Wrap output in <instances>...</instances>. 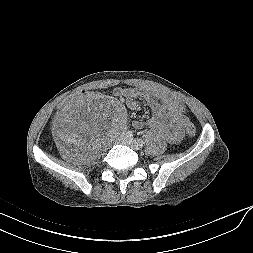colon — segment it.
Here are the masks:
<instances>
[{
	"mask_svg": "<svg viewBox=\"0 0 253 253\" xmlns=\"http://www.w3.org/2000/svg\"><path fill=\"white\" fill-rule=\"evenodd\" d=\"M92 90L91 89H82L75 94H72L67 98L63 103H59L57 108L60 111H66L70 108L77 100L84 98L85 96H91ZM185 132L189 136H194L196 133V128L192 123H187L185 125Z\"/></svg>",
	"mask_w": 253,
	"mask_h": 253,
	"instance_id": "1",
	"label": "colon"
}]
</instances>
